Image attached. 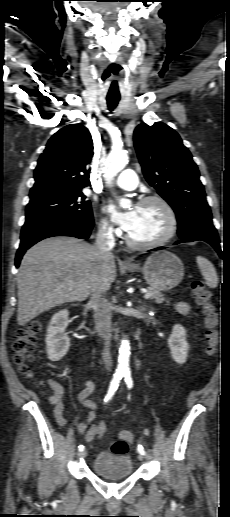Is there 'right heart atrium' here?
I'll return each instance as SVG.
<instances>
[{"label":"right heart atrium","mask_w":230,"mask_h":517,"mask_svg":"<svg viewBox=\"0 0 230 517\" xmlns=\"http://www.w3.org/2000/svg\"><path fill=\"white\" fill-rule=\"evenodd\" d=\"M99 231H100V234L105 238H112L119 234V230L117 228H115L111 224V222L106 218H102L100 220Z\"/></svg>","instance_id":"right-heart-atrium-1"}]
</instances>
